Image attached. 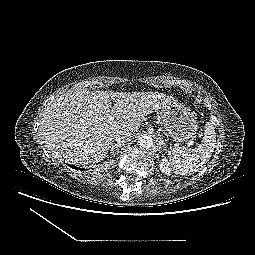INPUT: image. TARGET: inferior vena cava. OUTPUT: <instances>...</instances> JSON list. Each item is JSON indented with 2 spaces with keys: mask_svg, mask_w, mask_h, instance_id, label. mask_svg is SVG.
<instances>
[{
  "mask_svg": "<svg viewBox=\"0 0 255 255\" xmlns=\"http://www.w3.org/2000/svg\"><path fill=\"white\" fill-rule=\"evenodd\" d=\"M132 133L126 130H120L115 134V141L118 143H125L131 140Z\"/></svg>",
  "mask_w": 255,
  "mask_h": 255,
  "instance_id": "1",
  "label": "inferior vena cava"
}]
</instances>
